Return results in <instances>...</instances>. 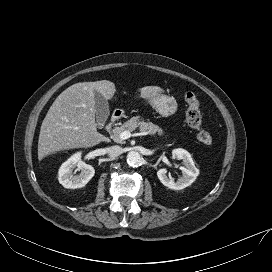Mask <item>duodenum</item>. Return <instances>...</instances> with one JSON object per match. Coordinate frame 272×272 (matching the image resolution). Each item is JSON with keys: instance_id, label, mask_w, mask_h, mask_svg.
<instances>
[{"instance_id": "410a0bca", "label": "duodenum", "mask_w": 272, "mask_h": 272, "mask_svg": "<svg viewBox=\"0 0 272 272\" xmlns=\"http://www.w3.org/2000/svg\"><path fill=\"white\" fill-rule=\"evenodd\" d=\"M124 115L123 110L119 109L113 113L110 123L106 126L107 131H110L117 122H119Z\"/></svg>"}]
</instances>
